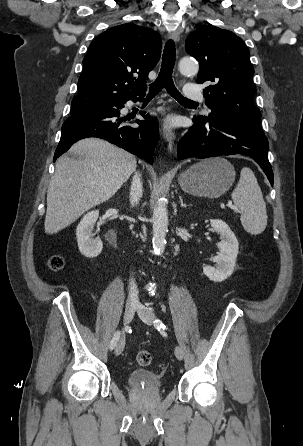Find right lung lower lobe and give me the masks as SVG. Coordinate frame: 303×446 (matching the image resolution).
I'll list each match as a JSON object with an SVG mask.
<instances>
[{
	"instance_id": "1",
	"label": "right lung lower lobe",
	"mask_w": 303,
	"mask_h": 446,
	"mask_svg": "<svg viewBox=\"0 0 303 446\" xmlns=\"http://www.w3.org/2000/svg\"><path fill=\"white\" fill-rule=\"evenodd\" d=\"M143 96L144 94L130 100L141 101ZM125 103L71 114L63 123L54 161L76 141L86 137H99L153 163L154 148L159 135L158 123L142 112L145 120L136 121L138 128L126 125L130 118L120 117L119 111Z\"/></svg>"
}]
</instances>
